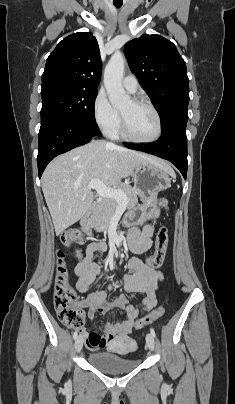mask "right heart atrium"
I'll return each instance as SVG.
<instances>
[{
    "instance_id": "obj_1",
    "label": "right heart atrium",
    "mask_w": 235,
    "mask_h": 404,
    "mask_svg": "<svg viewBox=\"0 0 235 404\" xmlns=\"http://www.w3.org/2000/svg\"><path fill=\"white\" fill-rule=\"evenodd\" d=\"M93 116L98 127L108 135L114 133L120 125V114L103 91H99L94 99Z\"/></svg>"
}]
</instances>
